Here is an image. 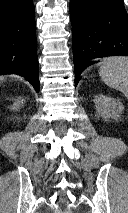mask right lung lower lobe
Wrapping results in <instances>:
<instances>
[{"mask_svg": "<svg viewBox=\"0 0 128 213\" xmlns=\"http://www.w3.org/2000/svg\"><path fill=\"white\" fill-rule=\"evenodd\" d=\"M33 0H0V74L25 77L40 90Z\"/></svg>", "mask_w": 128, "mask_h": 213, "instance_id": "right-lung-lower-lobe-1", "label": "right lung lower lobe"}]
</instances>
